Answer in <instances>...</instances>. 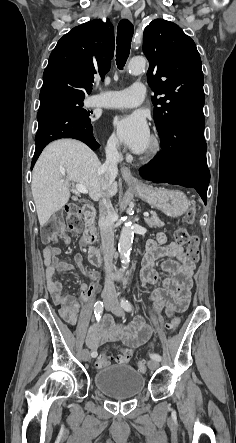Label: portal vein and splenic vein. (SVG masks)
I'll use <instances>...</instances> for the list:
<instances>
[{
    "mask_svg": "<svg viewBox=\"0 0 236 443\" xmlns=\"http://www.w3.org/2000/svg\"><path fill=\"white\" fill-rule=\"evenodd\" d=\"M75 188H76V190H77L78 192H81V193H83V194H87V193H88V190H87V188H86L84 185L76 184ZM144 216H145V217H148V216H149V213H148V212H145V213H144Z\"/></svg>",
    "mask_w": 236,
    "mask_h": 443,
    "instance_id": "1",
    "label": "portal vein and splenic vein"
}]
</instances>
